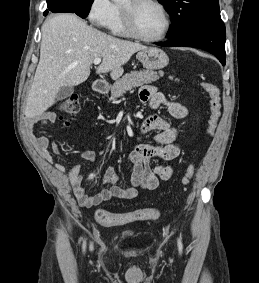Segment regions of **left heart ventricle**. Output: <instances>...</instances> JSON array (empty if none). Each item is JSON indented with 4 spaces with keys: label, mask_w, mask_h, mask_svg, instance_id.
I'll list each match as a JSON object with an SVG mask.
<instances>
[{
    "label": "left heart ventricle",
    "mask_w": 259,
    "mask_h": 283,
    "mask_svg": "<svg viewBox=\"0 0 259 283\" xmlns=\"http://www.w3.org/2000/svg\"><path fill=\"white\" fill-rule=\"evenodd\" d=\"M127 4V0L122 2ZM135 21L140 33L148 37L160 36L165 27L166 20L159 7L152 3L144 2L135 8Z\"/></svg>",
    "instance_id": "1"
}]
</instances>
